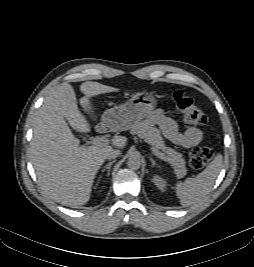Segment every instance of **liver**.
Listing matches in <instances>:
<instances>
[{
	"label": "liver",
	"mask_w": 254,
	"mask_h": 267,
	"mask_svg": "<svg viewBox=\"0 0 254 267\" xmlns=\"http://www.w3.org/2000/svg\"><path fill=\"white\" fill-rule=\"evenodd\" d=\"M80 91L85 95L80 100L82 108L95 119L89 99L118 89L87 81L80 85ZM66 121L78 132L91 131L78 109L73 87L62 83L49 92L35 115L29 157L42 190L58 203L78 207L89 201L106 154L112 146L124 148L127 138L113 137L112 146H80Z\"/></svg>",
	"instance_id": "1"
}]
</instances>
